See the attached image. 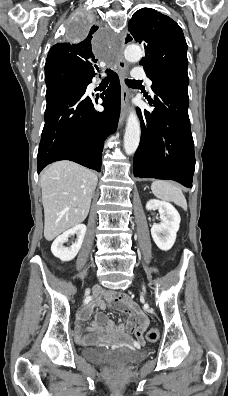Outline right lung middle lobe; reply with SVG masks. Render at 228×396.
<instances>
[{
    "mask_svg": "<svg viewBox=\"0 0 228 396\" xmlns=\"http://www.w3.org/2000/svg\"><path fill=\"white\" fill-rule=\"evenodd\" d=\"M90 22L91 18L86 14L76 16L71 23L72 32L77 34V36L83 35L87 32ZM82 79V77L67 71L45 74L47 103L51 102L58 94L68 88L79 85Z\"/></svg>",
    "mask_w": 228,
    "mask_h": 396,
    "instance_id": "1",
    "label": "right lung middle lobe"
}]
</instances>
